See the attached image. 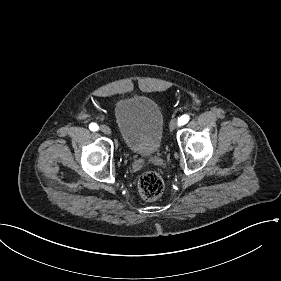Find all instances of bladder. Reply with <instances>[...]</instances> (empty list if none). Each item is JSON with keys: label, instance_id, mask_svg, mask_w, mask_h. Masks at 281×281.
I'll list each match as a JSON object with an SVG mask.
<instances>
[{"label": "bladder", "instance_id": "obj_1", "mask_svg": "<svg viewBox=\"0 0 281 281\" xmlns=\"http://www.w3.org/2000/svg\"><path fill=\"white\" fill-rule=\"evenodd\" d=\"M113 121L129 152L149 158L161 150L164 115L153 97L131 94L117 99L113 105Z\"/></svg>", "mask_w": 281, "mask_h": 281}]
</instances>
